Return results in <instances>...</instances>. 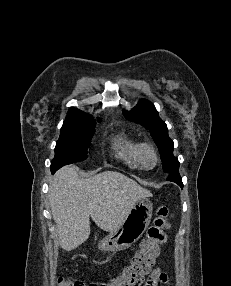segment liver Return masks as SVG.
<instances>
[{"label":"liver","instance_id":"1","mask_svg":"<svg viewBox=\"0 0 231 286\" xmlns=\"http://www.w3.org/2000/svg\"><path fill=\"white\" fill-rule=\"evenodd\" d=\"M48 196L61 247L71 251L88 239L90 216L102 230L113 232L138 200L152 194L120 172L82 179L68 165L54 175Z\"/></svg>","mask_w":231,"mask_h":286}]
</instances>
